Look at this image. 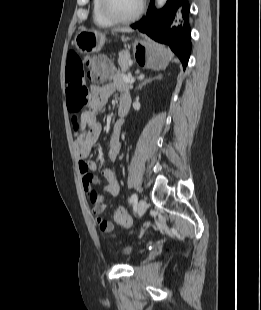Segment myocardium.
Wrapping results in <instances>:
<instances>
[{"label": "myocardium", "mask_w": 261, "mask_h": 310, "mask_svg": "<svg viewBox=\"0 0 261 310\" xmlns=\"http://www.w3.org/2000/svg\"><path fill=\"white\" fill-rule=\"evenodd\" d=\"M99 9L101 14L109 21L114 24H128L136 21L143 13L144 10V0L140 1L138 10L129 17H120L114 14L109 8L108 0H99Z\"/></svg>", "instance_id": "f54148a6"}]
</instances>
